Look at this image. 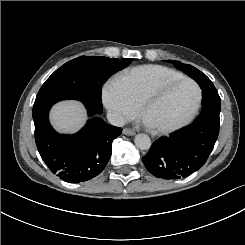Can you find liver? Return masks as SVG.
I'll list each match as a JSON object with an SVG mask.
<instances>
[{"label":"liver","instance_id":"obj_1","mask_svg":"<svg viewBox=\"0 0 245 245\" xmlns=\"http://www.w3.org/2000/svg\"><path fill=\"white\" fill-rule=\"evenodd\" d=\"M88 120L85 104L76 99L57 101L48 113L50 126L61 136H74L86 126Z\"/></svg>","mask_w":245,"mask_h":245}]
</instances>
